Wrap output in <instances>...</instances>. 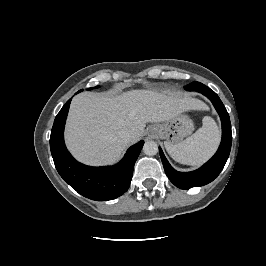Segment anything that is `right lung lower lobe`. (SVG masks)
Segmentation results:
<instances>
[{
  "instance_id": "98d812e1",
  "label": "right lung lower lobe",
  "mask_w": 266,
  "mask_h": 266,
  "mask_svg": "<svg viewBox=\"0 0 266 266\" xmlns=\"http://www.w3.org/2000/svg\"><path fill=\"white\" fill-rule=\"evenodd\" d=\"M70 103L71 99L57 114L50 136L51 154L58 173L74 190L89 199L105 201L121 196L130 186L134 164L144 142L129 148L114 166L90 167L77 162L66 149L63 135Z\"/></svg>"
}]
</instances>
